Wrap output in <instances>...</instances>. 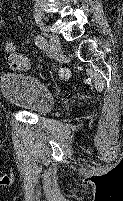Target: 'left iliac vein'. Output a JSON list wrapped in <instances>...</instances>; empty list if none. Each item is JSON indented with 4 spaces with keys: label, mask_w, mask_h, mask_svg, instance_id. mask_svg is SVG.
I'll return each mask as SVG.
<instances>
[{
    "label": "left iliac vein",
    "mask_w": 123,
    "mask_h": 201,
    "mask_svg": "<svg viewBox=\"0 0 123 201\" xmlns=\"http://www.w3.org/2000/svg\"><path fill=\"white\" fill-rule=\"evenodd\" d=\"M51 51L55 56L61 55V44L57 36L51 35L49 37Z\"/></svg>",
    "instance_id": "obj_1"
}]
</instances>
